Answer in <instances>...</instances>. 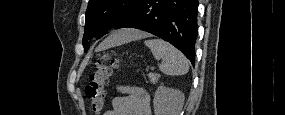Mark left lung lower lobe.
<instances>
[{
	"label": "left lung lower lobe",
	"instance_id": "1",
	"mask_svg": "<svg viewBox=\"0 0 285 115\" xmlns=\"http://www.w3.org/2000/svg\"><path fill=\"white\" fill-rule=\"evenodd\" d=\"M197 15V0H137L115 26L156 35L178 48L194 64Z\"/></svg>",
	"mask_w": 285,
	"mask_h": 115
}]
</instances>
